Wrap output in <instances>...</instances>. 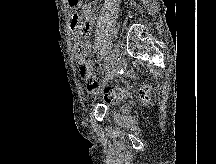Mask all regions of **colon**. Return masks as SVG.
Here are the masks:
<instances>
[{
  "instance_id": "obj_1",
  "label": "colon",
  "mask_w": 216,
  "mask_h": 164,
  "mask_svg": "<svg viewBox=\"0 0 216 164\" xmlns=\"http://www.w3.org/2000/svg\"><path fill=\"white\" fill-rule=\"evenodd\" d=\"M81 76L86 81V86L89 92H95L99 90V82L96 78L95 72L89 67L84 66L81 69ZM151 88L149 86H143L139 90L140 97L143 100L149 99ZM129 96V91L125 88L110 86L103 90V98L108 103H117L122 99Z\"/></svg>"
}]
</instances>
